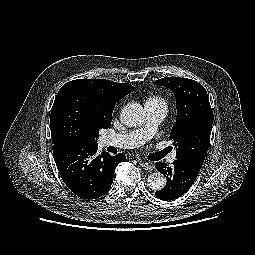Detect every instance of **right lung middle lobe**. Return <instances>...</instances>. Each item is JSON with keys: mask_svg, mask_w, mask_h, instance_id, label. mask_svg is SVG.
<instances>
[{"mask_svg": "<svg viewBox=\"0 0 255 255\" xmlns=\"http://www.w3.org/2000/svg\"><path fill=\"white\" fill-rule=\"evenodd\" d=\"M112 117L98 113L92 99L84 92L74 90L54 101L51 117L53 144L97 146L101 129L109 128Z\"/></svg>", "mask_w": 255, "mask_h": 255, "instance_id": "obj_1", "label": "right lung middle lobe"}]
</instances>
